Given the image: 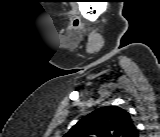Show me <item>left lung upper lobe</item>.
<instances>
[{"instance_id": "5c2ea615", "label": "left lung upper lobe", "mask_w": 160, "mask_h": 137, "mask_svg": "<svg viewBox=\"0 0 160 137\" xmlns=\"http://www.w3.org/2000/svg\"><path fill=\"white\" fill-rule=\"evenodd\" d=\"M137 129L127 111L101 107L80 119L65 137H136Z\"/></svg>"}]
</instances>
